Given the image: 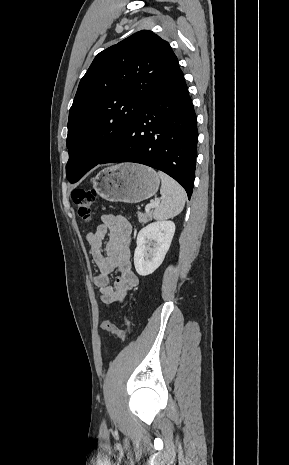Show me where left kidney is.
Segmentation results:
<instances>
[{
	"label": "left kidney",
	"mask_w": 289,
	"mask_h": 465,
	"mask_svg": "<svg viewBox=\"0 0 289 465\" xmlns=\"http://www.w3.org/2000/svg\"><path fill=\"white\" fill-rule=\"evenodd\" d=\"M174 233V222L165 220L150 223L140 230L134 252V265L139 275L152 274L162 264Z\"/></svg>",
	"instance_id": "1"
}]
</instances>
